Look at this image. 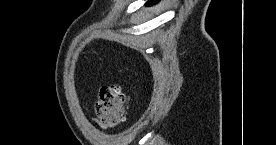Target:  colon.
Segmentation results:
<instances>
[{"label":"colon","instance_id":"obj_1","mask_svg":"<svg viewBox=\"0 0 276 145\" xmlns=\"http://www.w3.org/2000/svg\"><path fill=\"white\" fill-rule=\"evenodd\" d=\"M128 101L123 86H102L95 100L96 114L103 124L111 127L117 126L124 119Z\"/></svg>","mask_w":276,"mask_h":145}]
</instances>
